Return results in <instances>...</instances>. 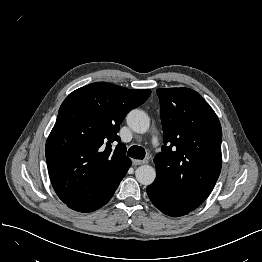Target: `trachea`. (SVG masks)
Returning a JSON list of instances; mask_svg holds the SVG:
<instances>
[{"label":"trachea","mask_w":262,"mask_h":262,"mask_svg":"<svg viewBox=\"0 0 262 262\" xmlns=\"http://www.w3.org/2000/svg\"><path fill=\"white\" fill-rule=\"evenodd\" d=\"M127 154L128 156L135 159H144L146 153L144 148L134 145L129 148Z\"/></svg>","instance_id":"obj_1"}]
</instances>
